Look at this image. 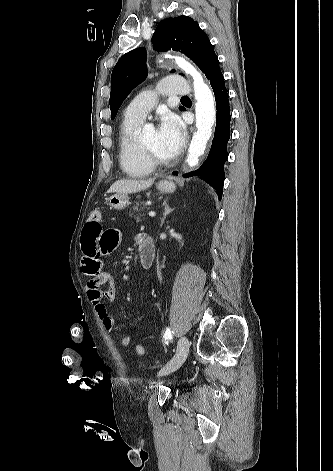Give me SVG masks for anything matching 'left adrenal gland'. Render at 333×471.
Listing matches in <instances>:
<instances>
[{
  "mask_svg": "<svg viewBox=\"0 0 333 471\" xmlns=\"http://www.w3.org/2000/svg\"><path fill=\"white\" fill-rule=\"evenodd\" d=\"M163 206H164V213H163V217L161 218L160 227L163 226L166 216L174 210V208H170L166 202L163 204Z\"/></svg>",
  "mask_w": 333,
  "mask_h": 471,
  "instance_id": "obj_1",
  "label": "left adrenal gland"
}]
</instances>
